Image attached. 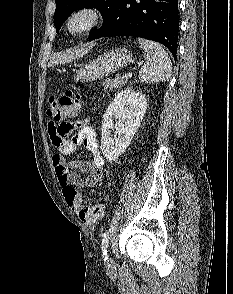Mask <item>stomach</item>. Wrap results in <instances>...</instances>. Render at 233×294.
I'll use <instances>...</instances> for the list:
<instances>
[{
    "label": "stomach",
    "mask_w": 233,
    "mask_h": 294,
    "mask_svg": "<svg viewBox=\"0 0 233 294\" xmlns=\"http://www.w3.org/2000/svg\"><path fill=\"white\" fill-rule=\"evenodd\" d=\"M132 60V53L125 48L110 50L82 66L75 75V81L91 82L108 76L127 66Z\"/></svg>",
    "instance_id": "1"
}]
</instances>
